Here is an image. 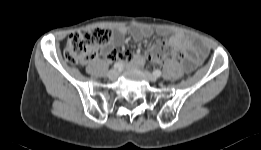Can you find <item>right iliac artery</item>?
<instances>
[{
	"label": "right iliac artery",
	"mask_w": 261,
	"mask_h": 150,
	"mask_svg": "<svg viewBox=\"0 0 261 150\" xmlns=\"http://www.w3.org/2000/svg\"><path fill=\"white\" fill-rule=\"evenodd\" d=\"M115 69H120L123 67V64L118 62V63H115L114 66H113Z\"/></svg>",
	"instance_id": "82829eb1"
}]
</instances>
